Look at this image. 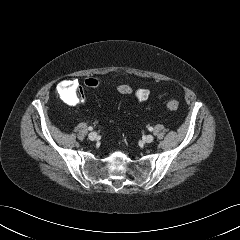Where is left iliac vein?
Instances as JSON below:
<instances>
[{"instance_id": "4c4485c4", "label": "left iliac vein", "mask_w": 240, "mask_h": 240, "mask_svg": "<svg viewBox=\"0 0 240 240\" xmlns=\"http://www.w3.org/2000/svg\"><path fill=\"white\" fill-rule=\"evenodd\" d=\"M153 140H154L153 135H146V136L144 137V141H145L146 143H151V142H153Z\"/></svg>"}]
</instances>
